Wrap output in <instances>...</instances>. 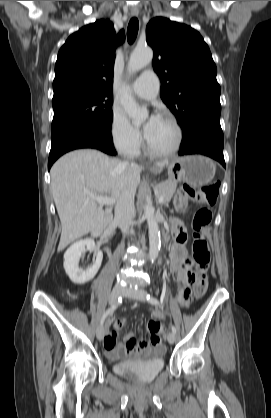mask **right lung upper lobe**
<instances>
[{
  "mask_svg": "<svg viewBox=\"0 0 271 418\" xmlns=\"http://www.w3.org/2000/svg\"><path fill=\"white\" fill-rule=\"evenodd\" d=\"M113 24L98 20L73 33L55 64L52 101L73 95H112L116 41ZM124 32L117 36L122 43Z\"/></svg>",
  "mask_w": 271,
  "mask_h": 418,
  "instance_id": "obj_1",
  "label": "right lung upper lobe"
}]
</instances>
